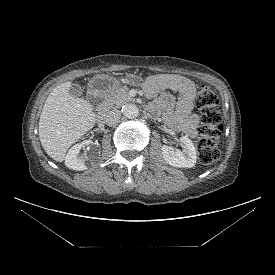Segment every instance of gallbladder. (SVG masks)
<instances>
[{"label": "gallbladder", "mask_w": 275, "mask_h": 275, "mask_svg": "<svg viewBox=\"0 0 275 275\" xmlns=\"http://www.w3.org/2000/svg\"><path fill=\"white\" fill-rule=\"evenodd\" d=\"M69 92L71 95L78 97V96L82 95L83 89L79 84L73 83V84H71V86L69 88Z\"/></svg>", "instance_id": "bac80fb5"}]
</instances>
